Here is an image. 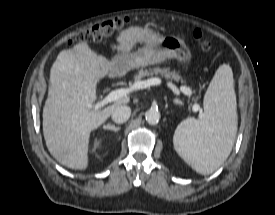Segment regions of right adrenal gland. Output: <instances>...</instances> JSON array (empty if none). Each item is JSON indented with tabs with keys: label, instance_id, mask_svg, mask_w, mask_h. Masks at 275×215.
<instances>
[{
	"label": "right adrenal gland",
	"instance_id": "2a0ac1e0",
	"mask_svg": "<svg viewBox=\"0 0 275 215\" xmlns=\"http://www.w3.org/2000/svg\"><path fill=\"white\" fill-rule=\"evenodd\" d=\"M103 128L105 130H110V131H113V132H118L121 128L120 127H116L115 125H111V124H107V125H104Z\"/></svg>",
	"mask_w": 275,
	"mask_h": 215
}]
</instances>
